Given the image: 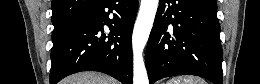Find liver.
<instances>
[{
	"mask_svg": "<svg viewBox=\"0 0 260 84\" xmlns=\"http://www.w3.org/2000/svg\"><path fill=\"white\" fill-rule=\"evenodd\" d=\"M62 84H117V81L97 72H80L67 77Z\"/></svg>",
	"mask_w": 260,
	"mask_h": 84,
	"instance_id": "6515ba94",
	"label": "liver"
}]
</instances>
